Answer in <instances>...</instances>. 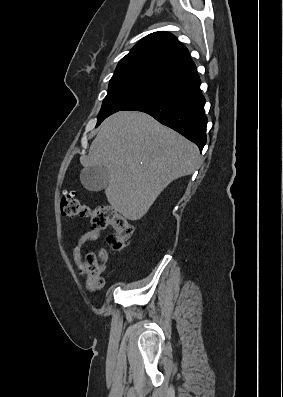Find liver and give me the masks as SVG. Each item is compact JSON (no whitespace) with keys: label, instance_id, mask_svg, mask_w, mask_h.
<instances>
[{"label":"liver","instance_id":"6515ba94","mask_svg":"<svg viewBox=\"0 0 283 397\" xmlns=\"http://www.w3.org/2000/svg\"><path fill=\"white\" fill-rule=\"evenodd\" d=\"M80 161L85 168L107 169L108 202L136 221L173 180L200 166V152L194 143L150 115L119 111L104 120L88 155Z\"/></svg>","mask_w":283,"mask_h":397}]
</instances>
